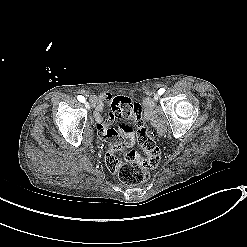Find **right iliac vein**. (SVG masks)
Here are the masks:
<instances>
[{
    "instance_id": "63e3f726",
    "label": "right iliac vein",
    "mask_w": 247,
    "mask_h": 247,
    "mask_svg": "<svg viewBox=\"0 0 247 247\" xmlns=\"http://www.w3.org/2000/svg\"><path fill=\"white\" fill-rule=\"evenodd\" d=\"M85 107L90 110V103L89 102H85Z\"/></svg>"
}]
</instances>
